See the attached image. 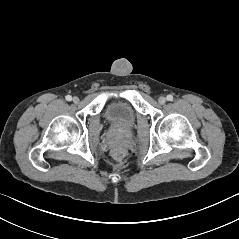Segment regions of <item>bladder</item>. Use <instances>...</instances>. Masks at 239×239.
I'll use <instances>...</instances> for the list:
<instances>
[{
  "instance_id": "obj_1",
  "label": "bladder",
  "mask_w": 239,
  "mask_h": 239,
  "mask_svg": "<svg viewBox=\"0 0 239 239\" xmlns=\"http://www.w3.org/2000/svg\"><path fill=\"white\" fill-rule=\"evenodd\" d=\"M104 116L107 122L117 130L127 131L135 123V111L125 101H113L105 107Z\"/></svg>"
}]
</instances>
